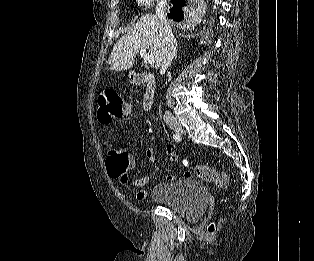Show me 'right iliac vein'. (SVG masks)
Masks as SVG:
<instances>
[{
  "instance_id": "63e3f726",
  "label": "right iliac vein",
  "mask_w": 314,
  "mask_h": 261,
  "mask_svg": "<svg viewBox=\"0 0 314 261\" xmlns=\"http://www.w3.org/2000/svg\"><path fill=\"white\" fill-rule=\"evenodd\" d=\"M169 126L172 130H174L178 134H183L184 133V128L178 121H171L169 123Z\"/></svg>"
}]
</instances>
